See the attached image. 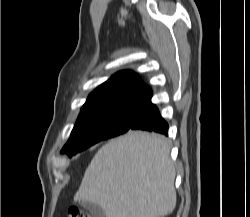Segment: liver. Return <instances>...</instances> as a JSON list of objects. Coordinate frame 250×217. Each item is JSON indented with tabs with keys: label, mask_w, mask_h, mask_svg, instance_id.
Returning a JSON list of instances; mask_svg holds the SVG:
<instances>
[{
	"label": "liver",
	"mask_w": 250,
	"mask_h": 217,
	"mask_svg": "<svg viewBox=\"0 0 250 217\" xmlns=\"http://www.w3.org/2000/svg\"><path fill=\"white\" fill-rule=\"evenodd\" d=\"M174 180L167 139L129 131L98 150L74 201L96 204L106 217H164L176 206Z\"/></svg>",
	"instance_id": "obj_1"
}]
</instances>
